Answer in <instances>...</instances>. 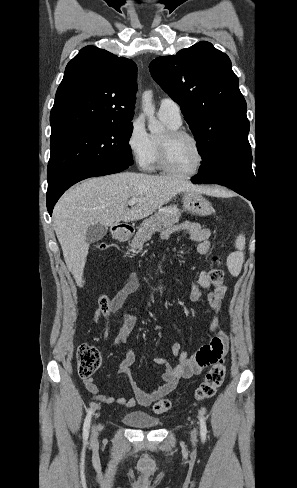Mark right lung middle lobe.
<instances>
[{
	"label": "right lung middle lobe",
	"instance_id": "1",
	"mask_svg": "<svg viewBox=\"0 0 297 488\" xmlns=\"http://www.w3.org/2000/svg\"><path fill=\"white\" fill-rule=\"evenodd\" d=\"M132 130V123H106L78 126L52 134L47 194L84 171L132 165L129 146Z\"/></svg>",
	"mask_w": 297,
	"mask_h": 488
}]
</instances>
